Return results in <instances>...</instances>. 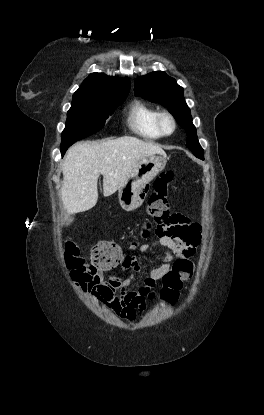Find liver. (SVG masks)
<instances>
[{
  "label": "liver",
  "instance_id": "obj_1",
  "mask_svg": "<svg viewBox=\"0 0 264 415\" xmlns=\"http://www.w3.org/2000/svg\"><path fill=\"white\" fill-rule=\"evenodd\" d=\"M155 154L166 156L158 145L130 136L73 145L62 164L64 209L68 214L90 210L98 200L100 174L103 176V195L108 197L126 182L140 159Z\"/></svg>",
  "mask_w": 264,
  "mask_h": 415
}]
</instances>
